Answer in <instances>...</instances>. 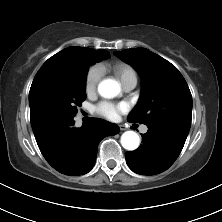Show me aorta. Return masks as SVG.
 <instances>
[{
	"label": "aorta",
	"mask_w": 222,
	"mask_h": 222,
	"mask_svg": "<svg viewBox=\"0 0 222 222\" xmlns=\"http://www.w3.org/2000/svg\"><path fill=\"white\" fill-rule=\"evenodd\" d=\"M98 92L104 98H113L119 94L120 86L115 80L105 79L99 83ZM139 143L140 138L134 131H126L121 136V144L126 150H136Z\"/></svg>",
	"instance_id": "762f6f07"
}]
</instances>
